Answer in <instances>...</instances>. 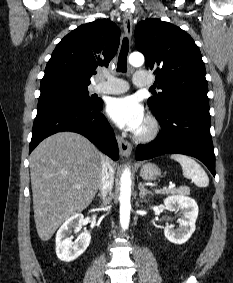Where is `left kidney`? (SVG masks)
<instances>
[{"label": "left kidney", "mask_w": 233, "mask_h": 283, "mask_svg": "<svg viewBox=\"0 0 233 283\" xmlns=\"http://www.w3.org/2000/svg\"><path fill=\"white\" fill-rule=\"evenodd\" d=\"M164 208L179 212L182 216L178 220L179 227L177 229H174V225L165 227V237L175 244L185 243L195 231V222L198 216L196 201L183 195L170 196L164 200Z\"/></svg>", "instance_id": "5707ae66"}]
</instances>
